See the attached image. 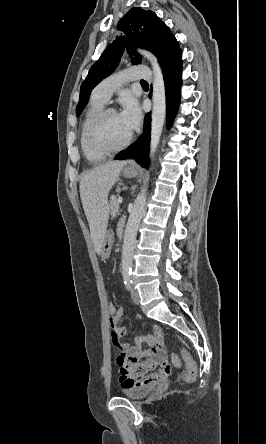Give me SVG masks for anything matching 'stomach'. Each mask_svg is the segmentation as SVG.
Masks as SVG:
<instances>
[{
  "mask_svg": "<svg viewBox=\"0 0 266 444\" xmlns=\"http://www.w3.org/2000/svg\"><path fill=\"white\" fill-rule=\"evenodd\" d=\"M137 174H138V170H137V168H135L133 166H126L123 169V175L126 178H133ZM112 244H113V233L110 230H107L105 233V237H104V241H103V245H102V251H101V254L103 256H109Z\"/></svg>",
  "mask_w": 266,
  "mask_h": 444,
  "instance_id": "stomach-1",
  "label": "stomach"
}]
</instances>
